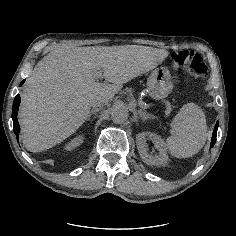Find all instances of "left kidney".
I'll use <instances>...</instances> for the list:
<instances>
[{
	"label": "left kidney",
	"instance_id": "5707ae66",
	"mask_svg": "<svg viewBox=\"0 0 236 236\" xmlns=\"http://www.w3.org/2000/svg\"><path fill=\"white\" fill-rule=\"evenodd\" d=\"M149 138L155 145V148L159 150V154L152 156L148 154L146 148V139ZM136 144L138 148V152L142 158V160L148 165H162L167 163L168 155L167 148L165 146L164 141L157 134H153L150 132L139 133L136 136Z\"/></svg>",
	"mask_w": 236,
	"mask_h": 236
}]
</instances>
